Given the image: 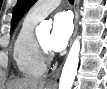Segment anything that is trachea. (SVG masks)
I'll list each match as a JSON object with an SVG mask.
<instances>
[{
  "label": "trachea",
  "mask_w": 107,
  "mask_h": 89,
  "mask_svg": "<svg viewBox=\"0 0 107 89\" xmlns=\"http://www.w3.org/2000/svg\"><path fill=\"white\" fill-rule=\"evenodd\" d=\"M69 3H70V4H73V3H74V0H69Z\"/></svg>",
  "instance_id": "1"
}]
</instances>
